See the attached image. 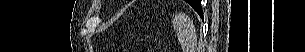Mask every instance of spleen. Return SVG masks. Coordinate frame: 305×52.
Masks as SVG:
<instances>
[{"mask_svg":"<svg viewBox=\"0 0 305 52\" xmlns=\"http://www.w3.org/2000/svg\"><path fill=\"white\" fill-rule=\"evenodd\" d=\"M173 24H174V29H175L178 37H179L181 28L188 26L193 39H196V31L193 26V23L190 20H188L185 15H183V14L177 15L173 20ZM179 40H180L182 49L184 51L187 50L186 43L181 38H179Z\"/></svg>","mask_w":305,"mask_h":52,"instance_id":"spleen-1","label":"spleen"}]
</instances>
